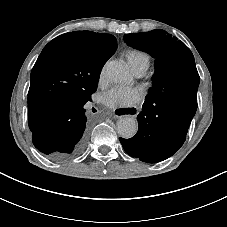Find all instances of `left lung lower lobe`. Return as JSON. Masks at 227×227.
<instances>
[{
    "label": "left lung lower lobe",
    "instance_id": "left-lung-lower-lobe-1",
    "mask_svg": "<svg viewBox=\"0 0 227 227\" xmlns=\"http://www.w3.org/2000/svg\"><path fill=\"white\" fill-rule=\"evenodd\" d=\"M199 75L167 88L145 100L138 114V132L130 139L119 138L127 154L140 161L155 163L172 156L184 143L197 109Z\"/></svg>",
    "mask_w": 227,
    "mask_h": 227
}]
</instances>
